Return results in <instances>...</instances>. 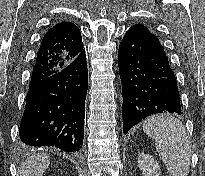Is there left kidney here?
<instances>
[{
  "label": "left kidney",
  "instance_id": "obj_1",
  "mask_svg": "<svg viewBox=\"0 0 205 176\" xmlns=\"http://www.w3.org/2000/svg\"><path fill=\"white\" fill-rule=\"evenodd\" d=\"M138 167L144 176H160V166L149 154L142 153L138 157Z\"/></svg>",
  "mask_w": 205,
  "mask_h": 176
}]
</instances>
